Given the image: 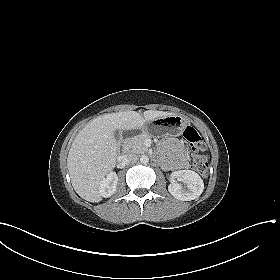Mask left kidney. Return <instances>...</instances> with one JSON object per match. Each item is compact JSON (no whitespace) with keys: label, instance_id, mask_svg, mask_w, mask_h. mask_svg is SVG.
<instances>
[{"label":"left kidney","instance_id":"obj_1","mask_svg":"<svg viewBox=\"0 0 280 280\" xmlns=\"http://www.w3.org/2000/svg\"><path fill=\"white\" fill-rule=\"evenodd\" d=\"M176 179L186 183V187L177 183ZM170 182L168 191L173 197L182 201L194 200L198 198L204 190L203 180L196 172L191 170L173 172Z\"/></svg>","mask_w":280,"mask_h":280}]
</instances>
